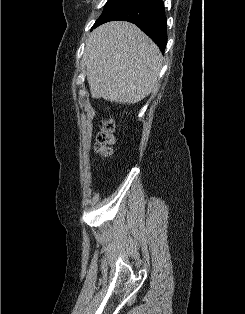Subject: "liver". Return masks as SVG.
<instances>
[{
	"instance_id": "obj_1",
	"label": "liver",
	"mask_w": 245,
	"mask_h": 314,
	"mask_svg": "<svg viewBox=\"0 0 245 314\" xmlns=\"http://www.w3.org/2000/svg\"><path fill=\"white\" fill-rule=\"evenodd\" d=\"M83 59L92 98L135 104L158 88L162 53L132 23L97 27L87 38Z\"/></svg>"
}]
</instances>
